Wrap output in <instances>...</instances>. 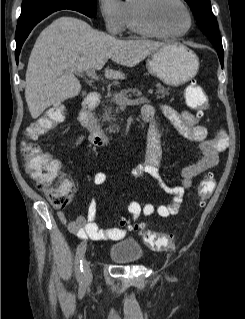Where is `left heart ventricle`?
I'll list each match as a JSON object with an SVG mask.
<instances>
[{
	"label": "left heart ventricle",
	"instance_id": "b2bd125f",
	"mask_svg": "<svg viewBox=\"0 0 245 319\" xmlns=\"http://www.w3.org/2000/svg\"><path fill=\"white\" fill-rule=\"evenodd\" d=\"M152 15L154 22L166 32H180L188 24L185 10L175 0H158Z\"/></svg>",
	"mask_w": 245,
	"mask_h": 319
}]
</instances>
